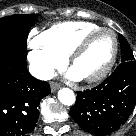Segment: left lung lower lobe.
<instances>
[{"label":"left lung lower lobe","mask_w":136,"mask_h":136,"mask_svg":"<svg viewBox=\"0 0 136 136\" xmlns=\"http://www.w3.org/2000/svg\"><path fill=\"white\" fill-rule=\"evenodd\" d=\"M135 100L136 61H127L99 86L78 91L70 114L86 132L104 136L118 130L127 120Z\"/></svg>","instance_id":"obj_1"}]
</instances>
